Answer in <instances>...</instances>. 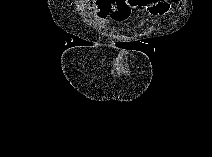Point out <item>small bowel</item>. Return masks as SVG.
Returning <instances> with one entry per match:
<instances>
[{
    "label": "small bowel",
    "instance_id": "obj_1",
    "mask_svg": "<svg viewBox=\"0 0 212 157\" xmlns=\"http://www.w3.org/2000/svg\"><path fill=\"white\" fill-rule=\"evenodd\" d=\"M146 10L153 15H164L170 11V0H102L96 4L95 22L107 29L112 20L123 22L134 11Z\"/></svg>",
    "mask_w": 212,
    "mask_h": 157
}]
</instances>
